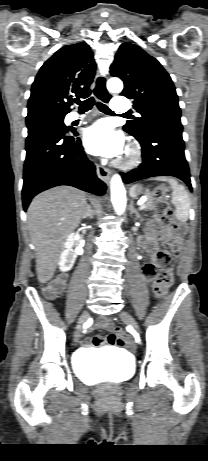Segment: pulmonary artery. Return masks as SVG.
<instances>
[{"label":"pulmonary artery","instance_id":"e3ab8cb5","mask_svg":"<svg viewBox=\"0 0 208 461\" xmlns=\"http://www.w3.org/2000/svg\"><path fill=\"white\" fill-rule=\"evenodd\" d=\"M111 107L117 113L127 112L131 108L130 104L127 102L125 97H116V98H114L112 103H111ZM79 117H80L79 115L73 114L71 119L76 120Z\"/></svg>","mask_w":208,"mask_h":461}]
</instances>
